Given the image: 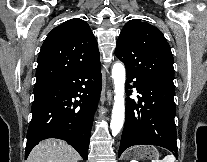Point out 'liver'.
Returning a JSON list of instances; mask_svg holds the SVG:
<instances>
[{"label":"liver","mask_w":207,"mask_h":162,"mask_svg":"<svg viewBox=\"0 0 207 162\" xmlns=\"http://www.w3.org/2000/svg\"><path fill=\"white\" fill-rule=\"evenodd\" d=\"M80 159L76 150L59 139H46L30 152L27 162H77Z\"/></svg>","instance_id":"6515ba94"}]
</instances>
